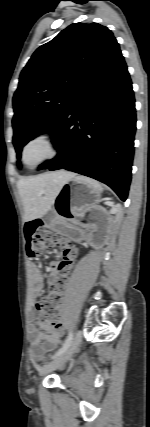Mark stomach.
<instances>
[{"mask_svg": "<svg viewBox=\"0 0 150 427\" xmlns=\"http://www.w3.org/2000/svg\"><path fill=\"white\" fill-rule=\"evenodd\" d=\"M98 201L99 192L75 177L61 187L53 204V212L65 221L75 222Z\"/></svg>", "mask_w": 150, "mask_h": 427, "instance_id": "0dacf381", "label": "stomach"}]
</instances>
